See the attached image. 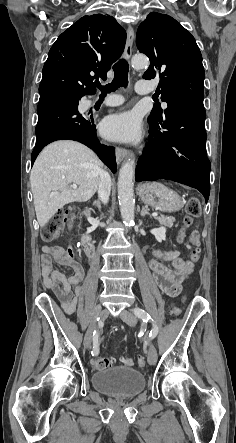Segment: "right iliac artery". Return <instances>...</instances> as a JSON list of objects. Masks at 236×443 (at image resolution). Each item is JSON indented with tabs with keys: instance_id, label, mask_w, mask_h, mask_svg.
<instances>
[{
	"instance_id": "82829eb1",
	"label": "right iliac artery",
	"mask_w": 236,
	"mask_h": 443,
	"mask_svg": "<svg viewBox=\"0 0 236 443\" xmlns=\"http://www.w3.org/2000/svg\"><path fill=\"white\" fill-rule=\"evenodd\" d=\"M99 319L100 318H97V320H99ZM98 337H99L98 330H94V332H93V349L91 351V354L93 356H96L99 353Z\"/></svg>"
}]
</instances>
